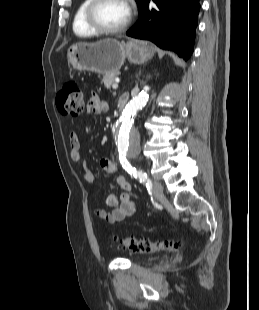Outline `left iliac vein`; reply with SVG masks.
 Masks as SVG:
<instances>
[{"label": "left iliac vein", "mask_w": 259, "mask_h": 310, "mask_svg": "<svg viewBox=\"0 0 259 310\" xmlns=\"http://www.w3.org/2000/svg\"><path fill=\"white\" fill-rule=\"evenodd\" d=\"M152 192L156 198H160L163 196V186L158 181L152 182Z\"/></svg>", "instance_id": "4c4485c4"}]
</instances>
